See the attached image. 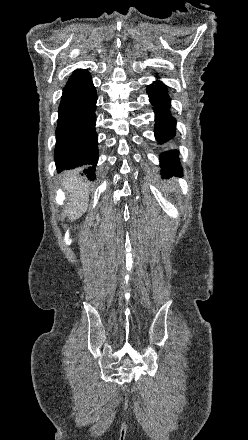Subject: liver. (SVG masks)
<instances>
[{"label": "liver", "mask_w": 248, "mask_h": 440, "mask_svg": "<svg viewBox=\"0 0 248 440\" xmlns=\"http://www.w3.org/2000/svg\"><path fill=\"white\" fill-rule=\"evenodd\" d=\"M64 187L70 193L69 220H74L88 207L89 186L77 174L67 173Z\"/></svg>", "instance_id": "obj_1"}]
</instances>
